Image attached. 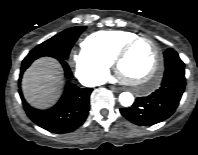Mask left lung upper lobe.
Here are the masks:
<instances>
[{"mask_svg":"<svg viewBox=\"0 0 198 155\" xmlns=\"http://www.w3.org/2000/svg\"><path fill=\"white\" fill-rule=\"evenodd\" d=\"M165 57V67L168 68L171 65L174 64H181L184 65L182 60L179 58L177 52L173 50L172 48H169L164 52Z\"/></svg>","mask_w":198,"mask_h":155,"instance_id":"obj_1","label":"left lung upper lobe"}]
</instances>
